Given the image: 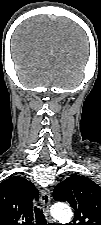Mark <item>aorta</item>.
<instances>
[{
  "label": "aorta",
  "mask_w": 101,
  "mask_h": 225,
  "mask_svg": "<svg viewBox=\"0 0 101 225\" xmlns=\"http://www.w3.org/2000/svg\"><path fill=\"white\" fill-rule=\"evenodd\" d=\"M51 214L62 224L69 223L73 216L71 208L66 204H55L52 207Z\"/></svg>",
  "instance_id": "1"
}]
</instances>
